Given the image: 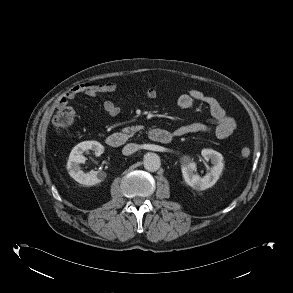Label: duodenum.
Segmentation results:
<instances>
[{"label": "duodenum", "mask_w": 293, "mask_h": 293, "mask_svg": "<svg viewBox=\"0 0 293 293\" xmlns=\"http://www.w3.org/2000/svg\"><path fill=\"white\" fill-rule=\"evenodd\" d=\"M148 137L155 142L167 144L172 140V134L164 129L154 128L149 130ZM127 142V136L121 132H115L107 136L106 143L111 147H120Z\"/></svg>", "instance_id": "duodenum-1"}]
</instances>
